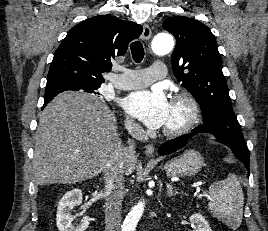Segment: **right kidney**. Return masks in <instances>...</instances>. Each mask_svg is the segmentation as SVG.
I'll list each match as a JSON object with an SVG mask.
<instances>
[{
  "label": "right kidney",
  "mask_w": 268,
  "mask_h": 231,
  "mask_svg": "<svg viewBox=\"0 0 268 231\" xmlns=\"http://www.w3.org/2000/svg\"><path fill=\"white\" fill-rule=\"evenodd\" d=\"M82 191L78 188L67 192L57 206L56 222L59 231H85L89 226L88 217H83L79 224H72L75 216L71 214L76 206L82 204ZM84 209V207H81Z\"/></svg>",
  "instance_id": "1"
}]
</instances>
